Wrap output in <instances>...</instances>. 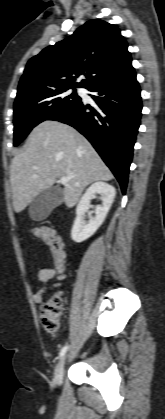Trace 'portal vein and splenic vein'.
<instances>
[{"label": "portal vein and splenic vein", "mask_w": 165, "mask_h": 419, "mask_svg": "<svg viewBox=\"0 0 165 419\" xmlns=\"http://www.w3.org/2000/svg\"><path fill=\"white\" fill-rule=\"evenodd\" d=\"M73 176H69V177H61L60 180L58 181L59 183L65 185L68 183V181L72 178Z\"/></svg>", "instance_id": "18ae733b"}]
</instances>
